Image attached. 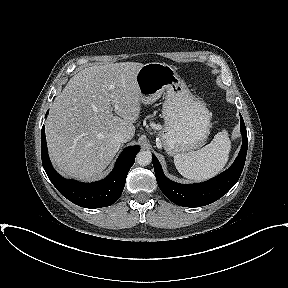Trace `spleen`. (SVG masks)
<instances>
[{
    "instance_id": "obj_1",
    "label": "spleen",
    "mask_w": 288,
    "mask_h": 288,
    "mask_svg": "<svg viewBox=\"0 0 288 288\" xmlns=\"http://www.w3.org/2000/svg\"><path fill=\"white\" fill-rule=\"evenodd\" d=\"M231 141L223 130L211 143L190 154H176L174 164L178 172L190 180H205L218 174L228 161Z\"/></svg>"
}]
</instances>
